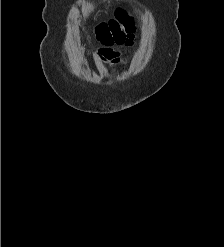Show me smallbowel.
I'll return each mask as SVG.
<instances>
[{
	"mask_svg": "<svg viewBox=\"0 0 224 247\" xmlns=\"http://www.w3.org/2000/svg\"><path fill=\"white\" fill-rule=\"evenodd\" d=\"M136 39L137 38L134 31H130L123 33L114 39L99 40L102 46L96 51L88 50L85 54V58L93 56L96 59L109 62L111 66L125 64L127 62L126 59L121 57V53L119 51H115L112 47L114 45L121 47H131L135 44Z\"/></svg>",
	"mask_w": 224,
	"mask_h": 247,
	"instance_id": "c3829d8e",
	"label": "small bowel"
}]
</instances>
